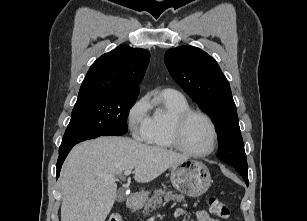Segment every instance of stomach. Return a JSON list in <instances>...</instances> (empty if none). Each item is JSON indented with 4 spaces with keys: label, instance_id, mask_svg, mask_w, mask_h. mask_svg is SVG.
<instances>
[{
    "label": "stomach",
    "instance_id": "0dacf381",
    "mask_svg": "<svg viewBox=\"0 0 307 221\" xmlns=\"http://www.w3.org/2000/svg\"><path fill=\"white\" fill-rule=\"evenodd\" d=\"M170 179L179 192L190 197H199L204 194L212 182L206 165L196 160H187L174 165Z\"/></svg>",
    "mask_w": 307,
    "mask_h": 221
}]
</instances>
